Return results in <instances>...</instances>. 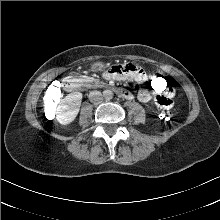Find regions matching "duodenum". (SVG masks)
<instances>
[{
	"mask_svg": "<svg viewBox=\"0 0 220 220\" xmlns=\"http://www.w3.org/2000/svg\"><path fill=\"white\" fill-rule=\"evenodd\" d=\"M82 84L78 81V80H68L66 83H65V88L68 90V91H75V90H78L79 88H81ZM115 92L120 96V97H123V98H127L129 93L128 91L126 90H123V89H116Z\"/></svg>",
	"mask_w": 220,
	"mask_h": 220,
	"instance_id": "obj_1",
	"label": "duodenum"
}]
</instances>
